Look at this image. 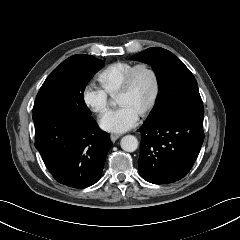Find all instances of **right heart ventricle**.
Returning a JSON list of instances; mask_svg holds the SVG:
<instances>
[{"label": "right heart ventricle", "instance_id": "e07e8e85", "mask_svg": "<svg viewBox=\"0 0 240 240\" xmlns=\"http://www.w3.org/2000/svg\"><path fill=\"white\" fill-rule=\"evenodd\" d=\"M135 64L128 61H117L106 66L98 75L102 89L111 96L117 95L128 71Z\"/></svg>", "mask_w": 240, "mask_h": 240}]
</instances>
